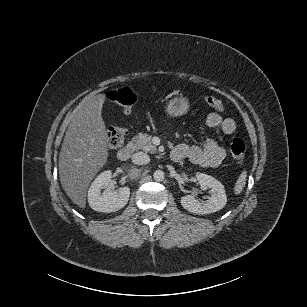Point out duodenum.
Returning <instances> with one entry per match:
<instances>
[{"label":"duodenum","instance_id":"obj_1","mask_svg":"<svg viewBox=\"0 0 307 307\" xmlns=\"http://www.w3.org/2000/svg\"><path fill=\"white\" fill-rule=\"evenodd\" d=\"M132 151H133V147L130 144H128V145L124 146L123 148H121L118 151V158H119V160L127 161L131 157Z\"/></svg>","mask_w":307,"mask_h":307}]
</instances>
